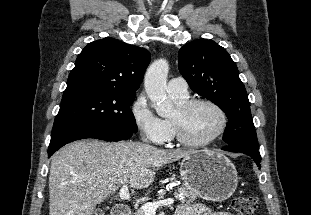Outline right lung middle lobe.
Here are the masks:
<instances>
[{"mask_svg": "<svg viewBox=\"0 0 311 215\" xmlns=\"http://www.w3.org/2000/svg\"><path fill=\"white\" fill-rule=\"evenodd\" d=\"M136 94L87 84L69 86L63 93L52 136L79 130L137 132L130 109Z\"/></svg>", "mask_w": 311, "mask_h": 215, "instance_id": "dd1d6c3e", "label": "right lung middle lobe"}]
</instances>
